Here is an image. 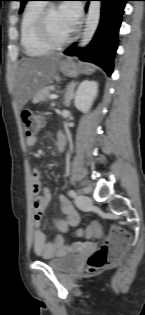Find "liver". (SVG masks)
<instances>
[{
	"label": "liver",
	"mask_w": 145,
	"mask_h": 315,
	"mask_svg": "<svg viewBox=\"0 0 145 315\" xmlns=\"http://www.w3.org/2000/svg\"><path fill=\"white\" fill-rule=\"evenodd\" d=\"M62 54L23 59L17 74L15 108L23 106L53 80Z\"/></svg>",
	"instance_id": "6515ba94"
}]
</instances>
